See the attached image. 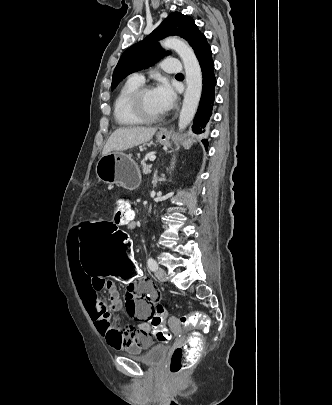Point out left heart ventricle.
Listing matches in <instances>:
<instances>
[{
  "mask_svg": "<svg viewBox=\"0 0 332 405\" xmlns=\"http://www.w3.org/2000/svg\"><path fill=\"white\" fill-rule=\"evenodd\" d=\"M143 104H144V108L145 111L147 112V114L151 115V116H160L164 114L163 109L161 108L154 89L148 91L144 97H143Z\"/></svg>",
  "mask_w": 332,
  "mask_h": 405,
  "instance_id": "1",
  "label": "left heart ventricle"
}]
</instances>
